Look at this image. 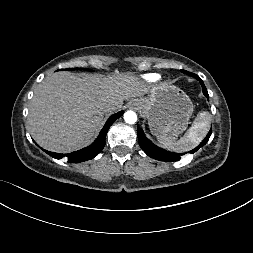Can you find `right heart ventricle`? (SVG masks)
Returning <instances> with one entry per match:
<instances>
[{"instance_id":"e07e8e85","label":"right heart ventricle","mask_w":253,"mask_h":253,"mask_svg":"<svg viewBox=\"0 0 253 253\" xmlns=\"http://www.w3.org/2000/svg\"><path fill=\"white\" fill-rule=\"evenodd\" d=\"M145 81L149 83L157 82L160 79V75L156 73L148 74L144 76Z\"/></svg>"}]
</instances>
